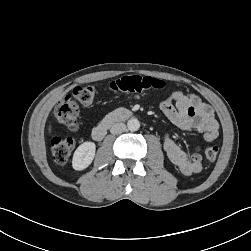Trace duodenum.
Instances as JSON below:
<instances>
[{
    "mask_svg": "<svg viewBox=\"0 0 251 251\" xmlns=\"http://www.w3.org/2000/svg\"><path fill=\"white\" fill-rule=\"evenodd\" d=\"M131 116L132 113L127 109H119L107 114L92 130L93 139L102 140L110 127L129 119Z\"/></svg>",
    "mask_w": 251,
    "mask_h": 251,
    "instance_id": "1",
    "label": "duodenum"
}]
</instances>
